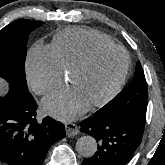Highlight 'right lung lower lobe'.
<instances>
[{"instance_id":"1","label":"right lung lower lobe","mask_w":165,"mask_h":165,"mask_svg":"<svg viewBox=\"0 0 165 165\" xmlns=\"http://www.w3.org/2000/svg\"><path fill=\"white\" fill-rule=\"evenodd\" d=\"M29 90L10 84L0 98V160L9 165H41L49 147L65 137V127L51 117L36 119Z\"/></svg>"}]
</instances>
